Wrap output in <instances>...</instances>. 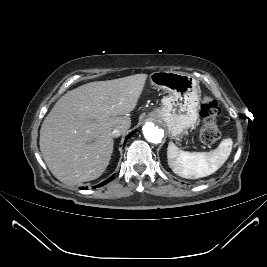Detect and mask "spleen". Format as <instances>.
I'll list each match as a JSON object with an SVG mask.
<instances>
[{
  "label": "spleen",
  "instance_id": "obj_1",
  "mask_svg": "<svg viewBox=\"0 0 267 267\" xmlns=\"http://www.w3.org/2000/svg\"><path fill=\"white\" fill-rule=\"evenodd\" d=\"M232 139L221 141L209 152H187L180 150L173 142L167 149L168 165L175 174L188 179L209 176L216 172L228 159L232 150Z\"/></svg>",
  "mask_w": 267,
  "mask_h": 267
}]
</instances>
